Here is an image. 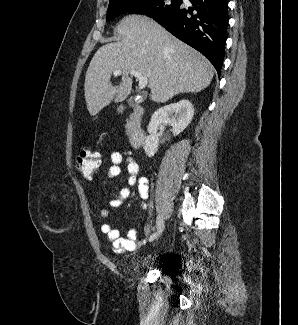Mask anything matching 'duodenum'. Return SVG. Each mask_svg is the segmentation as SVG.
<instances>
[{"instance_id":"duodenum-1","label":"duodenum","mask_w":298,"mask_h":325,"mask_svg":"<svg viewBox=\"0 0 298 325\" xmlns=\"http://www.w3.org/2000/svg\"><path fill=\"white\" fill-rule=\"evenodd\" d=\"M144 109L139 105H134L129 116V143L134 149L140 148L145 141V131L142 127Z\"/></svg>"}]
</instances>
